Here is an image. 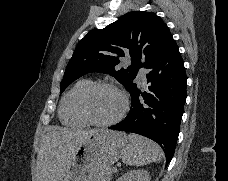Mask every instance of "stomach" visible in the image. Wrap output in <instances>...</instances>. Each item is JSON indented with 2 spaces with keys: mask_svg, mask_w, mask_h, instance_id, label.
Returning a JSON list of instances; mask_svg holds the SVG:
<instances>
[{
  "mask_svg": "<svg viewBox=\"0 0 228 181\" xmlns=\"http://www.w3.org/2000/svg\"><path fill=\"white\" fill-rule=\"evenodd\" d=\"M129 139L126 133L95 131L76 149L68 173L62 181H108L106 171L117 163Z\"/></svg>",
  "mask_w": 228,
  "mask_h": 181,
  "instance_id": "0dacf381",
  "label": "stomach"
}]
</instances>
